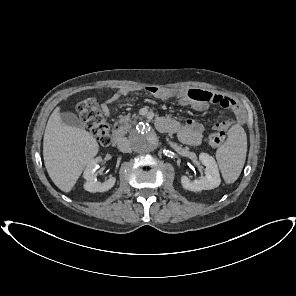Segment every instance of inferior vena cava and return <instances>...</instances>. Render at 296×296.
Returning <instances> with one entry per match:
<instances>
[{
	"instance_id": "inferior-vena-cava-1",
	"label": "inferior vena cava",
	"mask_w": 296,
	"mask_h": 296,
	"mask_svg": "<svg viewBox=\"0 0 296 296\" xmlns=\"http://www.w3.org/2000/svg\"><path fill=\"white\" fill-rule=\"evenodd\" d=\"M118 148L122 152H129L131 150L130 140L127 138H122L118 144Z\"/></svg>"
}]
</instances>
